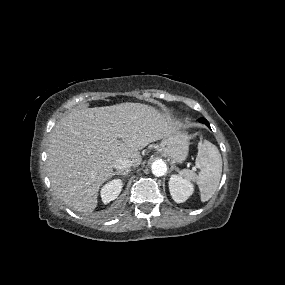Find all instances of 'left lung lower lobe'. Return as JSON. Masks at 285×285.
Masks as SVG:
<instances>
[{
    "label": "left lung lower lobe",
    "mask_w": 285,
    "mask_h": 285,
    "mask_svg": "<svg viewBox=\"0 0 285 285\" xmlns=\"http://www.w3.org/2000/svg\"><path fill=\"white\" fill-rule=\"evenodd\" d=\"M199 121L204 123V124H206L210 128V125H209V123H208V121L206 119L200 118Z\"/></svg>",
    "instance_id": "left-lung-lower-lobe-1"
}]
</instances>
